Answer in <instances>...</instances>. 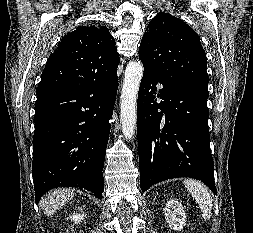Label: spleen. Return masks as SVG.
<instances>
[{
  "label": "spleen",
  "mask_w": 253,
  "mask_h": 233,
  "mask_svg": "<svg viewBox=\"0 0 253 233\" xmlns=\"http://www.w3.org/2000/svg\"><path fill=\"white\" fill-rule=\"evenodd\" d=\"M184 185L191 195L195 198L201 213L202 217L205 220H209L212 212V197L208 189L199 181L185 179Z\"/></svg>",
  "instance_id": "1"
}]
</instances>
